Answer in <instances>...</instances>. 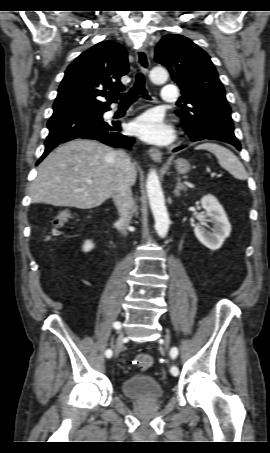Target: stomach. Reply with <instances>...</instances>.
Masks as SVG:
<instances>
[{"instance_id": "1", "label": "stomach", "mask_w": 270, "mask_h": 453, "mask_svg": "<svg viewBox=\"0 0 270 453\" xmlns=\"http://www.w3.org/2000/svg\"><path fill=\"white\" fill-rule=\"evenodd\" d=\"M175 167L178 173L186 174L190 171L191 167L186 159L180 158L175 161Z\"/></svg>"}]
</instances>
